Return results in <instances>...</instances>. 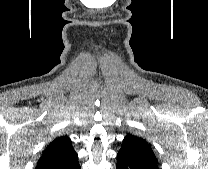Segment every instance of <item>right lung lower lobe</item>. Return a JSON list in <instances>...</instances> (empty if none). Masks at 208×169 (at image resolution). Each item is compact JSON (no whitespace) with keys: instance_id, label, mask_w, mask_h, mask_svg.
<instances>
[{"instance_id":"right-lung-lower-lobe-1","label":"right lung lower lobe","mask_w":208,"mask_h":169,"mask_svg":"<svg viewBox=\"0 0 208 169\" xmlns=\"http://www.w3.org/2000/svg\"><path fill=\"white\" fill-rule=\"evenodd\" d=\"M61 169H81L78 159H76L75 161H73L72 163L63 166Z\"/></svg>"}]
</instances>
